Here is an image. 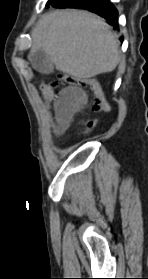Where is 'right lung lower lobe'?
Instances as JSON below:
<instances>
[{"label": "right lung lower lobe", "instance_id": "obj_1", "mask_svg": "<svg viewBox=\"0 0 148 279\" xmlns=\"http://www.w3.org/2000/svg\"><path fill=\"white\" fill-rule=\"evenodd\" d=\"M50 5L55 8H78L94 12L107 19L114 29H118V12L109 0H50L46 7Z\"/></svg>", "mask_w": 148, "mask_h": 279}]
</instances>
